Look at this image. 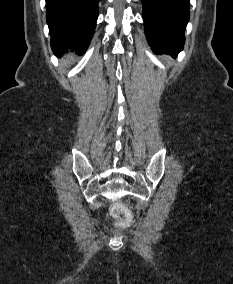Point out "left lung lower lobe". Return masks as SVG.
Here are the masks:
<instances>
[{
  "label": "left lung lower lobe",
  "mask_w": 233,
  "mask_h": 284,
  "mask_svg": "<svg viewBox=\"0 0 233 284\" xmlns=\"http://www.w3.org/2000/svg\"><path fill=\"white\" fill-rule=\"evenodd\" d=\"M145 33L156 54L176 57L183 49L190 0H141Z\"/></svg>",
  "instance_id": "left-lung-lower-lobe-1"
}]
</instances>
